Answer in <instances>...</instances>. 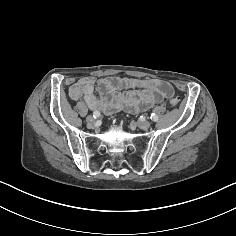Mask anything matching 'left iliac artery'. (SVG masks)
Instances as JSON below:
<instances>
[{
    "label": "left iliac artery",
    "mask_w": 236,
    "mask_h": 236,
    "mask_svg": "<svg viewBox=\"0 0 236 236\" xmlns=\"http://www.w3.org/2000/svg\"><path fill=\"white\" fill-rule=\"evenodd\" d=\"M152 121H157L158 120V116L155 113H152L150 116Z\"/></svg>",
    "instance_id": "obj_1"
}]
</instances>
